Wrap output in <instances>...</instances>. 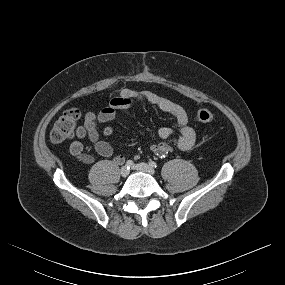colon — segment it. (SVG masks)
Masks as SVG:
<instances>
[{
	"mask_svg": "<svg viewBox=\"0 0 285 285\" xmlns=\"http://www.w3.org/2000/svg\"><path fill=\"white\" fill-rule=\"evenodd\" d=\"M213 114L206 108H199L195 113V120L198 123H208L212 120ZM81 119V113L76 108L66 110L55 122L50 139L53 143H61L74 136L77 124Z\"/></svg>",
	"mask_w": 285,
	"mask_h": 285,
	"instance_id": "colon-1",
	"label": "colon"
}]
</instances>
